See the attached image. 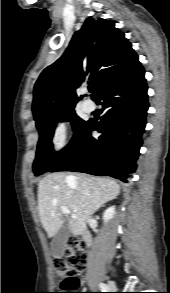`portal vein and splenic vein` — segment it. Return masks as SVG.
<instances>
[{
  "instance_id": "1",
  "label": "portal vein and splenic vein",
  "mask_w": 170,
  "mask_h": 293,
  "mask_svg": "<svg viewBox=\"0 0 170 293\" xmlns=\"http://www.w3.org/2000/svg\"><path fill=\"white\" fill-rule=\"evenodd\" d=\"M61 212L63 214H66V215L71 214V217L72 218H76V215L75 214H72L67 207H61Z\"/></svg>"
}]
</instances>
